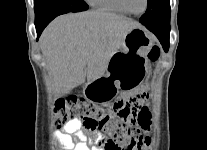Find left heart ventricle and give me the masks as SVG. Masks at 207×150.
Segmentation results:
<instances>
[{"mask_svg":"<svg viewBox=\"0 0 207 150\" xmlns=\"http://www.w3.org/2000/svg\"><path fill=\"white\" fill-rule=\"evenodd\" d=\"M128 3L134 12H141L145 7V0H128Z\"/></svg>","mask_w":207,"mask_h":150,"instance_id":"obj_1","label":"left heart ventricle"}]
</instances>
